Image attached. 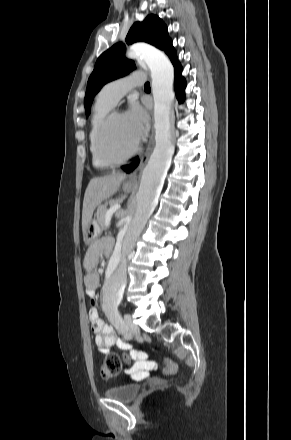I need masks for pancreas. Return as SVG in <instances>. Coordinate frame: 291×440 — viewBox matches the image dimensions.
<instances>
[{"label": "pancreas", "instance_id": "pancreas-1", "mask_svg": "<svg viewBox=\"0 0 291 440\" xmlns=\"http://www.w3.org/2000/svg\"><path fill=\"white\" fill-rule=\"evenodd\" d=\"M117 203H119V201H113V202L110 203V205H114V204H117ZM107 210H108L107 209V204L101 205L97 209V214H96L97 215V221H98V224L101 227L105 226V219H106Z\"/></svg>", "mask_w": 291, "mask_h": 440}]
</instances>
